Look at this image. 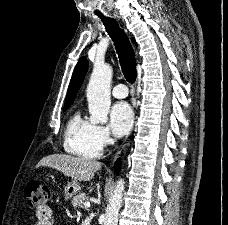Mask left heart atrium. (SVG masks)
<instances>
[{
    "instance_id": "1",
    "label": "left heart atrium",
    "mask_w": 228,
    "mask_h": 225,
    "mask_svg": "<svg viewBox=\"0 0 228 225\" xmlns=\"http://www.w3.org/2000/svg\"><path fill=\"white\" fill-rule=\"evenodd\" d=\"M132 122L133 112L131 107L127 103H116L110 109V125L115 135H126L131 128Z\"/></svg>"
}]
</instances>
